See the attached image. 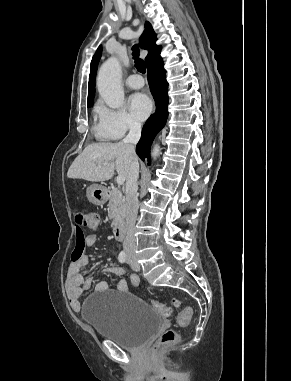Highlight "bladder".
Masks as SVG:
<instances>
[{
	"mask_svg": "<svg viewBox=\"0 0 291 381\" xmlns=\"http://www.w3.org/2000/svg\"><path fill=\"white\" fill-rule=\"evenodd\" d=\"M82 319L101 337L124 349L137 350L163 326V318L144 299L126 291L115 296L95 293L82 308Z\"/></svg>",
	"mask_w": 291,
	"mask_h": 381,
	"instance_id": "1",
	"label": "bladder"
}]
</instances>
